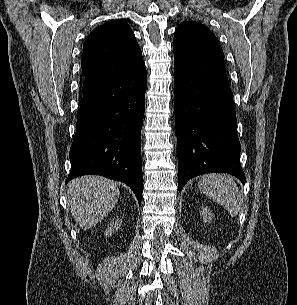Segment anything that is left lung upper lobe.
Wrapping results in <instances>:
<instances>
[{
    "mask_svg": "<svg viewBox=\"0 0 297 305\" xmlns=\"http://www.w3.org/2000/svg\"><path fill=\"white\" fill-rule=\"evenodd\" d=\"M174 61L193 74L225 72L224 53L217 37L203 24L182 22L173 39Z\"/></svg>",
    "mask_w": 297,
    "mask_h": 305,
    "instance_id": "obj_1",
    "label": "left lung upper lobe"
}]
</instances>
